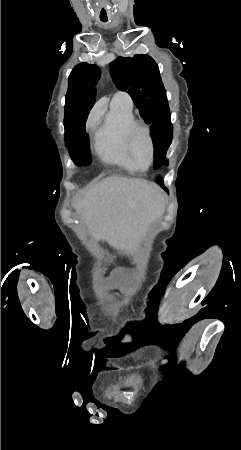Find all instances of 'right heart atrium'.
Listing matches in <instances>:
<instances>
[{
  "instance_id": "right-heart-atrium-1",
  "label": "right heart atrium",
  "mask_w": 241,
  "mask_h": 450,
  "mask_svg": "<svg viewBox=\"0 0 241 450\" xmlns=\"http://www.w3.org/2000/svg\"><path fill=\"white\" fill-rule=\"evenodd\" d=\"M97 123H98V118H97L96 116H91V117L89 118V124H88V127H89V128H92L93 125H96Z\"/></svg>"
}]
</instances>
